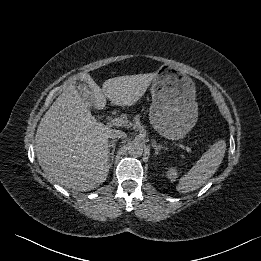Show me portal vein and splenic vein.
Listing matches in <instances>:
<instances>
[{
	"mask_svg": "<svg viewBox=\"0 0 261 261\" xmlns=\"http://www.w3.org/2000/svg\"><path fill=\"white\" fill-rule=\"evenodd\" d=\"M112 124L115 125V126H125L126 125V121L123 119V118H114L112 120ZM179 146L181 148H183L185 151H187L188 153H191V148L186 146V145H182V144H179Z\"/></svg>",
	"mask_w": 261,
	"mask_h": 261,
	"instance_id": "18ae733b",
	"label": "portal vein and splenic vein"
}]
</instances>
